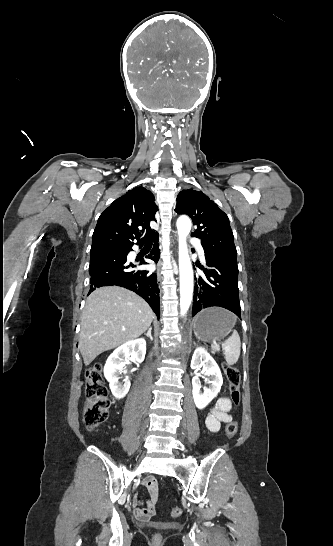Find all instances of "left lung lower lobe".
Here are the masks:
<instances>
[{
    "mask_svg": "<svg viewBox=\"0 0 333 546\" xmlns=\"http://www.w3.org/2000/svg\"><path fill=\"white\" fill-rule=\"evenodd\" d=\"M202 246L207 265V268L202 267V270L206 278L196 279L192 316L201 309L219 306L232 311L241 319L237 260L219 257ZM225 266H228L226 274L223 273Z\"/></svg>",
    "mask_w": 333,
    "mask_h": 546,
    "instance_id": "1",
    "label": "left lung lower lobe"
}]
</instances>
